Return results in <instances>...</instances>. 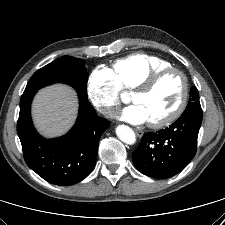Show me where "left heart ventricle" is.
<instances>
[{
  "mask_svg": "<svg viewBox=\"0 0 225 225\" xmlns=\"http://www.w3.org/2000/svg\"><path fill=\"white\" fill-rule=\"evenodd\" d=\"M182 84L175 73L161 79L149 92H133L131 100L140 105L147 114L148 121H156L169 114L178 104Z\"/></svg>",
  "mask_w": 225,
  "mask_h": 225,
  "instance_id": "obj_1",
  "label": "left heart ventricle"
}]
</instances>
